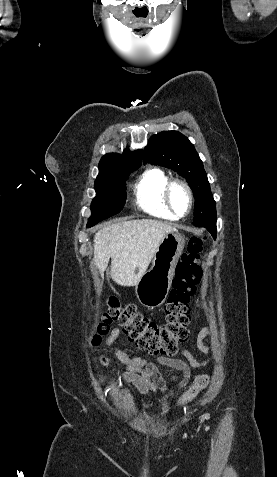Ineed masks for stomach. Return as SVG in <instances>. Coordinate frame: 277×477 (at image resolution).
Returning <instances> with one entry per match:
<instances>
[{
    "label": "stomach",
    "instance_id": "obj_1",
    "mask_svg": "<svg viewBox=\"0 0 277 477\" xmlns=\"http://www.w3.org/2000/svg\"><path fill=\"white\" fill-rule=\"evenodd\" d=\"M184 246L185 240L177 231L164 236L153 257L151 268L136 284L135 295L140 304L155 308L164 303Z\"/></svg>",
    "mask_w": 277,
    "mask_h": 477
}]
</instances>
